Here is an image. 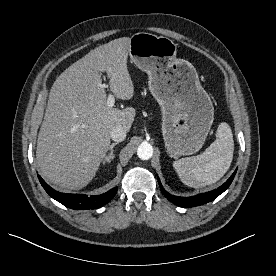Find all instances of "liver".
Returning a JSON list of instances; mask_svg holds the SVG:
<instances>
[{"label": "liver", "mask_w": 276, "mask_h": 276, "mask_svg": "<svg viewBox=\"0 0 276 276\" xmlns=\"http://www.w3.org/2000/svg\"><path fill=\"white\" fill-rule=\"evenodd\" d=\"M129 47V37L100 45L53 83L36 149L39 171L51 183L70 190L85 187L106 156L112 129L122 126L126 132L130 130L135 109L108 108L100 74L107 73L116 98L131 99Z\"/></svg>", "instance_id": "obj_1"}]
</instances>
